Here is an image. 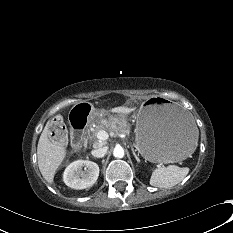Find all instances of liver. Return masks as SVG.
Segmentation results:
<instances>
[{"label":"liver","instance_id":"6515ba94","mask_svg":"<svg viewBox=\"0 0 233 233\" xmlns=\"http://www.w3.org/2000/svg\"><path fill=\"white\" fill-rule=\"evenodd\" d=\"M134 108L120 106L111 109L112 113L126 115ZM51 122L44 127L37 146V159L39 170L48 183H53L54 176L67 156V150L63 142L49 139Z\"/></svg>","mask_w":233,"mask_h":233}]
</instances>
